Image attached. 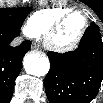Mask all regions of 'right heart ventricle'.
I'll use <instances>...</instances> for the list:
<instances>
[{
    "instance_id": "1",
    "label": "right heart ventricle",
    "mask_w": 103,
    "mask_h": 103,
    "mask_svg": "<svg viewBox=\"0 0 103 103\" xmlns=\"http://www.w3.org/2000/svg\"><path fill=\"white\" fill-rule=\"evenodd\" d=\"M68 11L70 10L65 7H51L36 11L28 18L24 27L25 33L33 38L43 36L53 21Z\"/></svg>"
}]
</instances>
